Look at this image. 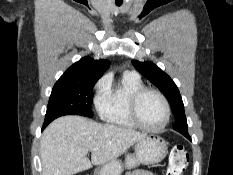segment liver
Wrapping results in <instances>:
<instances>
[{"label":"liver","instance_id":"6515ba94","mask_svg":"<svg viewBox=\"0 0 233 175\" xmlns=\"http://www.w3.org/2000/svg\"><path fill=\"white\" fill-rule=\"evenodd\" d=\"M147 136L128 128L100 124L81 116H63L41 137L42 175H73L117 159ZM91 152V161L87 153Z\"/></svg>","mask_w":233,"mask_h":175}]
</instances>
